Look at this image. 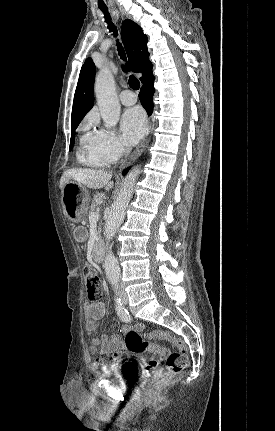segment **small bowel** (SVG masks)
<instances>
[{"instance_id": "1", "label": "small bowel", "mask_w": 275, "mask_h": 431, "mask_svg": "<svg viewBox=\"0 0 275 431\" xmlns=\"http://www.w3.org/2000/svg\"><path fill=\"white\" fill-rule=\"evenodd\" d=\"M74 238L78 242H84L87 239V233L82 228H77L74 231ZM85 314V328L90 338L89 350L92 354L98 355L96 364L105 367L109 362L120 361L125 350V346L118 334H113L111 337L105 333L98 337L94 336L98 322L105 315L104 304L100 301L88 303L85 306ZM136 329L141 331L144 329V325L139 324L136 326ZM101 356H107L109 358V362H101Z\"/></svg>"}]
</instances>
